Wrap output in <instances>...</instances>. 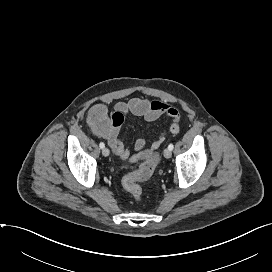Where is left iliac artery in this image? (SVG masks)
I'll return each mask as SVG.
<instances>
[{
  "instance_id": "left-iliac-artery-1",
  "label": "left iliac artery",
  "mask_w": 272,
  "mask_h": 272,
  "mask_svg": "<svg viewBox=\"0 0 272 272\" xmlns=\"http://www.w3.org/2000/svg\"><path fill=\"white\" fill-rule=\"evenodd\" d=\"M168 148H169L170 150H173L174 145L171 143V144H169Z\"/></svg>"
}]
</instances>
